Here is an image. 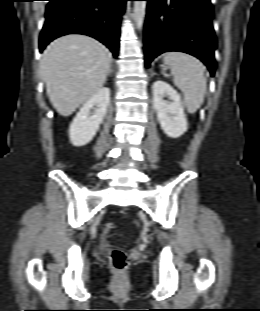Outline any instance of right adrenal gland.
Listing matches in <instances>:
<instances>
[{"label":"right adrenal gland","instance_id":"2a0ac1e0","mask_svg":"<svg viewBox=\"0 0 260 311\" xmlns=\"http://www.w3.org/2000/svg\"><path fill=\"white\" fill-rule=\"evenodd\" d=\"M112 72H113V70H112V66H111L110 69H109V71H108V73H107V76L111 75Z\"/></svg>","mask_w":260,"mask_h":311}]
</instances>
